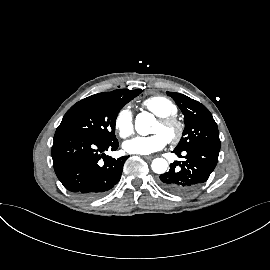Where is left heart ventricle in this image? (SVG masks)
<instances>
[{
    "mask_svg": "<svg viewBox=\"0 0 270 270\" xmlns=\"http://www.w3.org/2000/svg\"><path fill=\"white\" fill-rule=\"evenodd\" d=\"M153 133H161L167 139H169L174 134L173 128H165L159 122H157L153 128Z\"/></svg>",
    "mask_w": 270,
    "mask_h": 270,
    "instance_id": "b2bd125f",
    "label": "left heart ventricle"
}]
</instances>
